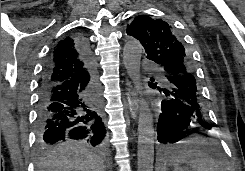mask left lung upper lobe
Segmentation results:
<instances>
[{
	"mask_svg": "<svg viewBox=\"0 0 245 171\" xmlns=\"http://www.w3.org/2000/svg\"><path fill=\"white\" fill-rule=\"evenodd\" d=\"M127 34L139 40L147 53V58L160 66L171 60H177L192 70L181 36L168 22L146 15H137L127 26Z\"/></svg>",
	"mask_w": 245,
	"mask_h": 171,
	"instance_id": "5c2ea615",
	"label": "left lung upper lobe"
}]
</instances>
